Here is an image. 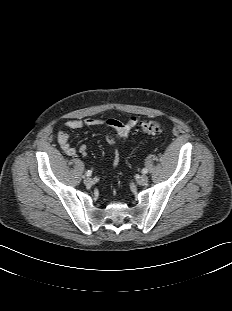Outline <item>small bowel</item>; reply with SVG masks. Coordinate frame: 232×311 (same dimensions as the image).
Instances as JSON below:
<instances>
[{
  "label": "small bowel",
  "mask_w": 232,
  "mask_h": 311,
  "mask_svg": "<svg viewBox=\"0 0 232 311\" xmlns=\"http://www.w3.org/2000/svg\"><path fill=\"white\" fill-rule=\"evenodd\" d=\"M139 122L138 117H131L126 123H122L116 119H107V120H100L94 118H88L85 120H78L73 119L69 120L66 123L67 131H60L58 132L57 139L61 149L67 155H75L77 153V149L74 148L70 142V132L78 130L82 127H95L100 125H105L109 128H112L115 133H108L106 136L107 142L109 144H115L117 141H124L129 136L130 131L134 128L135 125ZM78 151L81 154H86L87 146L85 144L80 145ZM118 163V155L116 154L114 164L117 165Z\"/></svg>",
  "instance_id": "small-bowel-1"
}]
</instances>
